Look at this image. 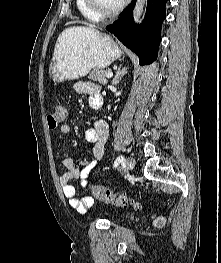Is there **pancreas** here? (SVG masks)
<instances>
[{
	"instance_id": "pancreas-1",
	"label": "pancreas",
	"mask_w": 221,
	"mask_h": 263,
	"mask_svg": "<svg viewBox=\"0 0 221 263\" xmlns=\"http://www.w3.org/2000/svg\"><path fill=\"white\" fill-rule=\"evenodd\" d=\"M110 72V70H99L94 69L89 75L88 78L94 82H98L102 85L107 84L106 75Z\"/></svg>"
}]
</instances>
